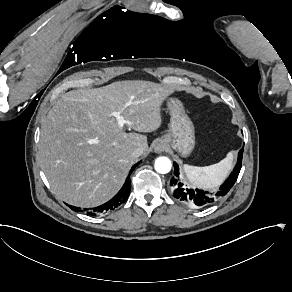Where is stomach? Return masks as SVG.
I'll return each instance as SVG.
<instances>
[{"mask_svg": "<svg viewBox=\"0 0 292 292\" xmlns=\"http://www.w3.org/2000/svg\"><path fill=\"white\" fill-rule=\"evenodd\" d=\"M172 119L168 133L160 140L171 145L180 153L187 155L194 148V128L183 111L182 105L177 100L169 102Z\"/></svg>", "mask_w": 292, "mask_h": 292, "instance_id": "0dacf381", "label": "stomach"}]
</instances>
